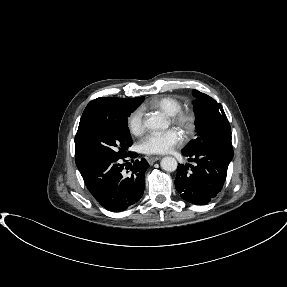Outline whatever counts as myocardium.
Segmentation results:
<instances>
[{"label": "myocardium", "mask_w": 287, "mask_h": 287, "mask_svg": "<svg viewBox=\"0 0 287 287\" xmlns=\"http://www.w3.org/2000/svg\"><path fill=\"white\" fill-rule=\"evenodd\" d=\"M171 122L177 126L186 136L194 133L197 126V116L191 110H180L171 116Z\"/></svg>", "instance_id": "obj_1"}]
</instances>
